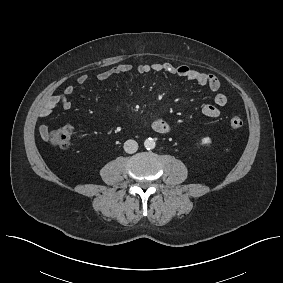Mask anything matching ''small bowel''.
Listing matches in <instances>:
<instances>
[{
	"label": "small bowel",
	"instance_id": "small-bowel-1",
	"mask_svg": "<svg viewBox=\"0 0 283 283\" xmlns=\"http://www.w3.org/2000/svg\"><path fill=\"white\" fill-rule=\"evenodd\" d=\"M130 72H136L138 74H147L151 72L166 73L170 75H176L185 78L189 81H193L200 86L208 88L213 92L214 104H206L202 107V113L208 118H218L221 114L220 108L225 106L228 102L227 96L220 92L221 83L219 79L210 73L200 72L186 65H174L168 62L165 63H152V64H140L136 67L130 64H120L104 70L97 75L98 80L106 81L113 76L126 74ZM88 77L86 74H81L77 77L76 81L79 85H83L87 82ZM74 86L68 84L64 87L61 93L52 94L45 100L42 107L39 109L38 116L43 119L48 117L56 106H61L63 109L68 110L72 107V103L69 100V96L74 93ZM152 129L160 134H168L171 131L170 125L163 119H155L152 124ZM48 128L45 125L40 127V134L45 137L47 135Z\"/></svg>",
	"mask_w": 283,
	"mask_h": 283
}]
</instances>
